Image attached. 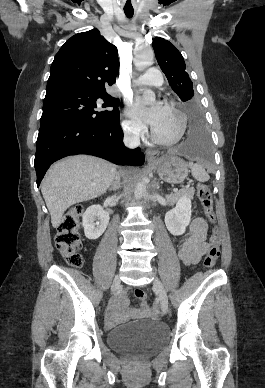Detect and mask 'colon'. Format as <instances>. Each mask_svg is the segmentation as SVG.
<instances>
[{
    "label": "colon",
    "instance_id": "5ec220e1",
    "mask_svg": "<svg viewBox=\"0 0 265 388\" xmlns=\"http://www.w3.org/2000/svg\"><path fill=\"white\" fill-rule=\"evenodd\" d=\"M197 195L201 203L203 212L209 223L214 225L209 238L210 248L204 258V266L211 268L215 266L220 255V237L216 225V215L211 195L210 187L206 184H200L197 188ZM84 212L82 205H76L71 208L63 217L58 225V234L56 238L57 246L65 260L73 267L79 268L83 264L80 249L82 247V238L80 234V219ZM137 299L147 301L148 295L141 289L134 292Z\"/></svg>",
    "mask_w": 265,
    "mask_h": 388
}]
</instances>
